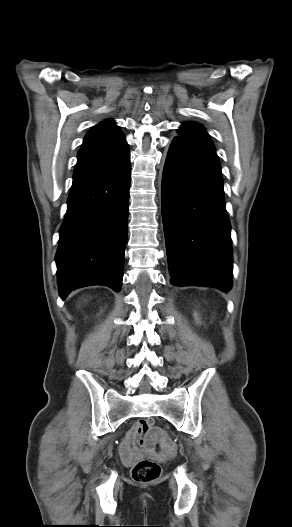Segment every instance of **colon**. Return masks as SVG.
<instances>
[{"mask_svg":"<svg viewBox=\"0 0 292 527\" xmlns=\"http://www.w3.org/2000/svg\"><path fill=\"white\" fill-rule=\"evenodd\" d=\"M141 426L146 432H154L155 425L152 420L142 421ZM161 467L159 464H153L149 459H142L136 462L131 470V476L134 481L139 483H151L161 477Z\"/></svg>","mask_w":292,"mask_h":527,"instance_id":"colon-1","label":"colon"}]
</instances>
